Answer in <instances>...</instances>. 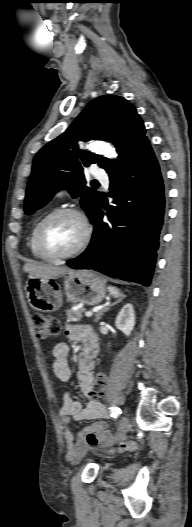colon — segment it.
<instances>
[{"mask_svg": "<svg viewBox=\"0 0 192 527\" xmlns=\"http://www.w3.org/2000/svg\"><path fill=\"white\" fill-rule=\"evenodd\" d=\"M33 324L37 338L43 342L52 341L54 338L58 337L61 332V325L56 319L43 315H35L33 317ZM94 379L97 394H101L105 386V376L102 373H97Z\"/></svg>", "mask_w": 192, "mask_h": 527, "instance_id": "5ec220e1", "label": "colon"}]
</instances>
